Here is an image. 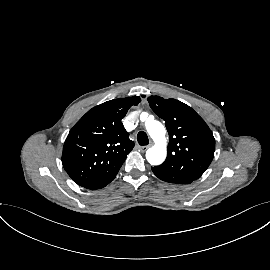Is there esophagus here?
I'll return each instance as SVG.
<instances>
[{
  "label": "esophagus",
  "mask_w": 270,
  "mask_h": 270,
  "mask_svg": "<svg viewBox=\"0 0 270 270\" xmlns=\"http://www.w3.org/2000/svg\"><path fill=\"white\" fill-rule=\"evenodd\" d=\"M149 147H150V145L140 146L139 149L141 152H145Z\"/></svg>",
  "instance_id": "esophagus-1"
}]
</instances>
